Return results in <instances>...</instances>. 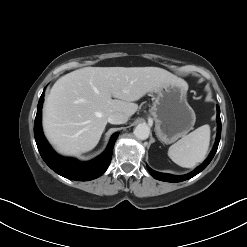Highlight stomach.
Returning <instances> with one entry per match:
<instances>
[{"mask_svg": "<svg viewBox=\"0 0 247 247\" xmlns=\"http://www.w3.org/2000/svg\"><path fill=\"white\" fill-rule=\"evenodd\" d=\"M187 90V84L178 81L165 83L155 91L150 114L156 135L163 143H173L193 129L196 115L187 102Z\"/></svg>", "mask_w": 247, "mask_h": 247, "instance_id": "stomach-1", "label": "stomach"}]
</instances>
